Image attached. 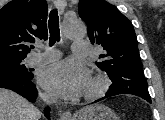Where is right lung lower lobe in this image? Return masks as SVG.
I'll return each mask as SVG.
<instances>
[{
	"label": "right lung lower lobe",
	"instance_id": "right-lung-lower-lobe-1",
	"mask_svg": "<svg viewBox=\"0 0 165 120\" xmlns=\"http://www.w3.org/2000/svg\"><path fill=\"white\" fill-rule=\"evenodd\" d=\"M0 88H7L15 91L29 101H35L38 92L31 80L22 78H12L0 76ZM45 116L50 117V108L46 107L44 110Z\"/></svg>",
	"mask_w": 165,
	"mask_h": 120
}]
</instances>
